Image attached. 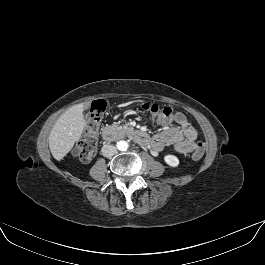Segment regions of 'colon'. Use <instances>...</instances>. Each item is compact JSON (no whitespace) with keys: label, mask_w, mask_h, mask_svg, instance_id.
<instances>
[{"label":"colon","mask_w":265,"mask_h":265,"mask_svg":"<svg viewBox=\"0 0 265 265\" xmlns=\"http://www.w3.org/2000/svg\"><path fill=\"white\" fill-rule=\"evenodd\" d=\"M105 103L101 100L94 101L90 111L86 116V131L83 138L76 144L73 153L83 162H89L97 149L98 145V130L105 112ZM141 108L158 118H173L176 120L184 119V115L171 107H161L155 103H142ZM203 148L196 149L192 157L199 160L203 157Z\"/></svg>","instance_id":"obj_1"}]
</instances>
